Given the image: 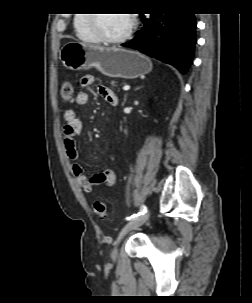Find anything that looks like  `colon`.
Listing matches in <instances>:
<instances>
[{"label":"colon","instance_id":"5ec220e1","mask_svg":"<svg viewBox=\"0 0 252 303\" xmlns=\"http://www.w3.org/2000/svg\"><path fill=\"white\" fill-rule=\"evenodd\" d=\"M61 98L69 103L73 99V84L70 81H64L60 89ZM93 210L97 216L104 219L108 216L106 204L101 199H96L93 203Z\"/></svg>","mask_w":252,"mask_h":303}]
</instances>
